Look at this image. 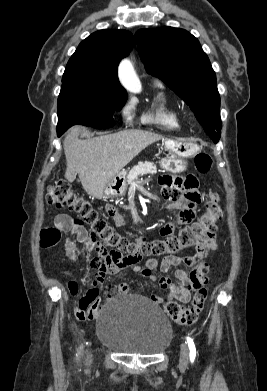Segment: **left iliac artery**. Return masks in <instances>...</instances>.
Masks as SVG:
<instances>
[{
	"mask_svg": "<svg viewBox=\"0 0 267 391\" xmlns=\"http://www.w3.org/2000/svg\"><path fill=\"white\" fill-rule=\"evenodd\" d=\"M187 342L190 349V360L191 362H193L196 356V348L193 340L190 337H187Z\"/></svg>",
	"mask_w": 267,
	"mask_h": 391,
	"instance_id": "left-iliac-artery-1",
	"label": "left iliac artery"
}]
</instances>
